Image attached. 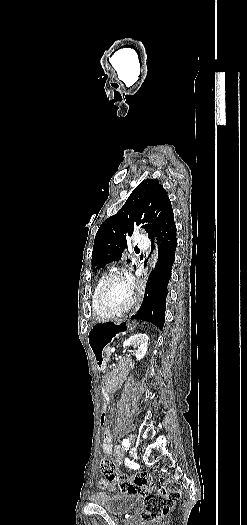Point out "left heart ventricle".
I'll use <instances>...</instances> for the list:
<instances>
[{
	"instance_id": "obj_1",
	"label": "left heart ventricle",
	"mask_w": 247,
	"mask_h": 525,
	"mask_svg": "<svg viewBox=\"0 0 247 525\" xmlns=\"http://www.w3.org/2000/svg\"><path fill=\"white\" fill-rule=\"evenodd\" d=\"M131 281L125 277L113 278L102 290L100 301L106 305L125 303L131 294Z\"/></svg>"
}]
</instances>
